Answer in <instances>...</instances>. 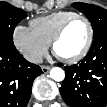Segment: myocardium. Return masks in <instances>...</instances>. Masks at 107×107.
Returning <instances> with one entry per match:
<instances>
[{"instance_id": "myocardium-1", "label": "myocardium", "mask_w": 107, "mask_h": 107, "mask_svg": "<svg viewBox=\"0 0 107 107\" xmlns=\"http://www.w3.org/2000/svg\"><path fill=\"white\" fill-rule=\"evenodd\" d=\"M83 20L87 27H88V39L87 42L85 44V46L83 47V49L75 56L70 57V58H61L56 54V45L57 43L60 41V39L62 38V36L64 35L66 29L68 28V26L74 21V20ZM93 40H94V29L92 26V23L90 22V20L81 14H76L73 15L71 17H69L67 20H65L62 25L58 28V30L56 31L55 35L53 36L52 42H51V47L52 50L54 52V54H56L59 58H61L64 62L68 63V64H74L77 63L78 61L82 60L90 51L91 46L93 44Z\"/></svg>"}]
</instances>
